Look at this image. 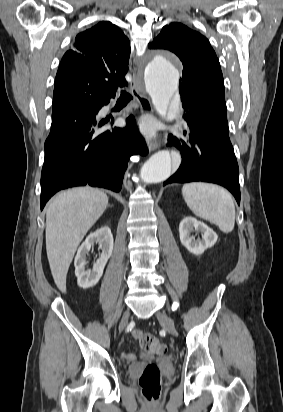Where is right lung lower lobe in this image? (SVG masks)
I'll return each mask as SVG.
<instances>
[{
    "label": "right lung lower lobe",
    "instance_id": "1",
    "mask_svg": "<svg viewBox=\"0 0 283 412\" xmlns=\"http://www.w3.org/2000/svg\"><path fill=\"white\" fill-rule=\"evenodd\" d=\"M109 101L100 100L64 121H52L44 146L41 210L51 196L68 187L89 184L120 191L130 156L147 154L132 115L125 128L104 130V123L96 121L99 110Z\"/></svg>",
    "mask_w": 283,
    "mask_h": 412
}]
</instances>
